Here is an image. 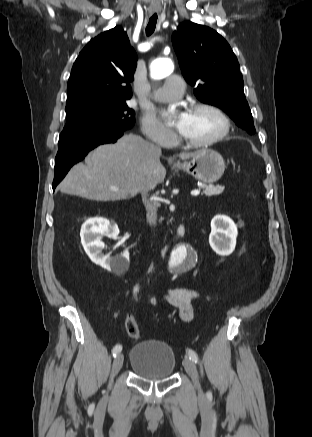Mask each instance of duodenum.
I'll return each mask as SVG.
<instances>
[{
	"instance_id": "obj_1",
	"label": "duodenum",
	"mask_w": 312,
	"mask_h": 437,
	"mask_svg": "<svg viewBox=\"0 0 312 437\" xmlns=\"http://www.w3.org/2000/svg\"><path fill=\"white\" fill-rule=\"evenodd\" d=\"M184 225H180L178 228H177V231H176V234H175V237H174V241H177V240H179L183 235H184Z\"/></svg>"
}]
</instances>
